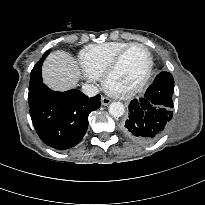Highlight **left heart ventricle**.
Listing matches in <instances>:
<instances>
[{"label": "left heart ventricle", "instance_id": "b2bd125f", "mask_svg": "<svg viewBox=\"0 0 205 205\" xmlns=\"http://www.w3.org/2000/svg\"><path fill=\"white\" fill-rule=\"evenodd\" d=\"M148 56L141 47L130 49L122 58L109 84L116 90H127L135 86L144 76L148 67Z\"/></svg>", "mask_w": 205, "mask_h": 205}]
</instances>
